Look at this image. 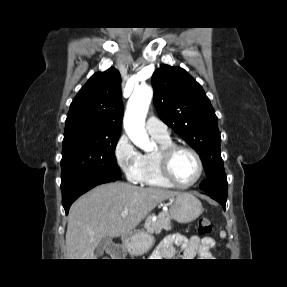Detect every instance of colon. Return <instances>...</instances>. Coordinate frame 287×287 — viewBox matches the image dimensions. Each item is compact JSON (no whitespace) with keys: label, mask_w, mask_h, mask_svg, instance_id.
<instances>
[{"label":"colon","mask_w":287,"mask_h":287,"mask_svg":"<svg viewBox=\"0 0 287 287\" xmlns=\"http://www.w3.org/2000/svg\"><path fill=\"white\" fill-rule=\"evenodd\" d=\"M212 226L208 218H201L198 222V233L200 236H206L211 232Z\"/></svg>","instance_id":"colon-1"}]
</instances>
